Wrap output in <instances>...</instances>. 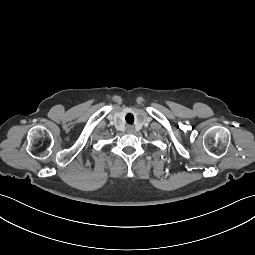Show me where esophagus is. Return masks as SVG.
Wrapping results in <instances>:
<instances>
[{"mask_svg": "<svg viewBox=\"0 0 255 255\" xmlns=\"http://www.w3.org/2000/svg\"><path fill=\"white\" fill-rule=\"evenodd\" d=\"M127 131L128 132H133L134 131V127L133 126H128L127 127Z\"/></svg>", "mask_w": 255, "mask_h": 255, "instance_id": "esophagus-1", "label": "esophagus"}]
</instances>
